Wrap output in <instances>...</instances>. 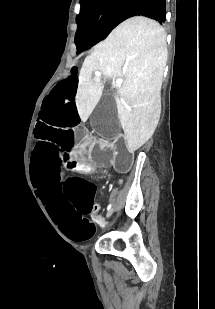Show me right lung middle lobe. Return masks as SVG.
<instances>
[{"label":"right lung middle lobe","instance_id":"obj_1","mask_svg":"<svg viewBox=\"0 0 215 309\" xmlns=\"http://www.w3.org/2000/svg\"><path fill=\"white\" fill-rule=\"evenodd\" d=\"M131 0H80L78 29L75 35L77 53L102 39L115 28V22Z\"/></svg>","mask_w":215,"mask_h":309}]
</instances>
